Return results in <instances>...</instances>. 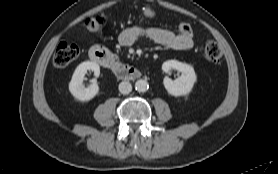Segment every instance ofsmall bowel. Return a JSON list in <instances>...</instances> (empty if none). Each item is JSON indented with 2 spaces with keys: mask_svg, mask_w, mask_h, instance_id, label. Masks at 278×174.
Segmentation results:
<instances>
[{
  "mask_svg": "<svg viewBox=\"0 0 278 174\" xmlns=\"http://www.w3.org/2000/svg\"><path fill=\"white\" fill-rule=\"evenodd\" d=\"M140 38H147L157 44L173 50H189L194 45L192 36L155 27H144L140 24L131 25L119 34V42L123 46H131Z\"/></svg>",
  "mask_w": 278,
  "mask_h": 174,
  "instance_id": "small-bowel-1",
  "label": "small bowel"
}]
</instances>
